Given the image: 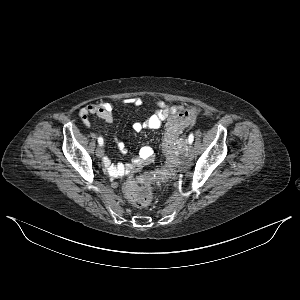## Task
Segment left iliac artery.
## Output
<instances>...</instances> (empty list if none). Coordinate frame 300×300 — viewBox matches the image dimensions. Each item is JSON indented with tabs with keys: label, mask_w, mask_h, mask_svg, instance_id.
Masks as SVG:
<instances>
[{
	"label": "left iliac artery",
	"mask_w": 300,
	"mask_h": 300,
	"mask_svg": "<svg viewBox=\"0 0 300 300\" xmlns=\"http://www.w3.org/2000/svg\"><path fill=\"white\" fill-rule=\"evenodd\" d=\"M193 140H194V136H193V133H191V134L189 135V137H188V142H189L190 144H192Z\"/></svg>",
	"instance_id": "left-iliac-artery-1"
}]
</instances>
